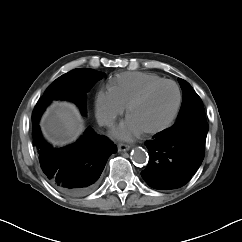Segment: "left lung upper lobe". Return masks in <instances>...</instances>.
<instances>
[{
    "instance_id": "obj_1",
    "label": "left lung upper lobe",
    "mask_w": 242,
    "mask_h": 242,
    "mask_svg": "<svg viewBox=\"0 0 242 242\" xmlns=\"http://www.w3.org/2000/svg\"><path fill=\"white\" fill-rule=\"evenodd\" d=\"M183 90V102L175 124L163 130L166 134H207L208 124L206 121L203 103L191 85L179 78Z\"/></svg>"
}]
</instances>
